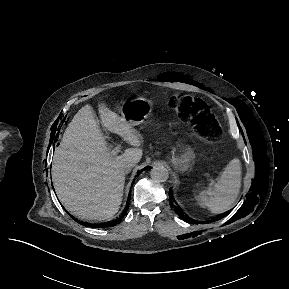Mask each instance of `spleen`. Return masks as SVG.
<instances>
[{
  "label": "spleen",
  "instance_id": "obj_1",
  "mask_svg": "<svg viewBox=\"0 0 289 289\" xmlns=\"http://www.w3.org/2000/svg\"><path fill=\"white\" fill-rule=\"evenodd\" d=\"M241 173V162L234 158L224 168L212 189L199 193L197 200L200 205L215 214L230 210L240 192Z\"/></svg>",
  "mask_w": 289,
  "mask_h": 289
}]
</instances>
